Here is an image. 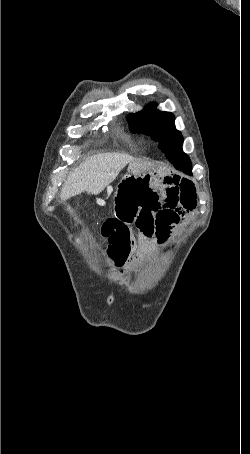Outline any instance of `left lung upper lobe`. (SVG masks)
<instances>
[{
  "instance_id": "obj_1",
  "label": "left lung upper lobe",
  "mask_w": 250,
  "mask_h": 454,
  "mask_svg": "<svg viewBox=\"0 0 250 454\" xmlns=\"http://www.w3.org/2000/svg\"><path fill=\"white\" fill-rule=\"evenodd\" d=\"M130 131L151 136L159 142V148L166 158L185 154L182 151L183 137L174 125L175 117L170 112H161L152 103L143 111L127 116Z\"/></svg>"
}]
</instances>
